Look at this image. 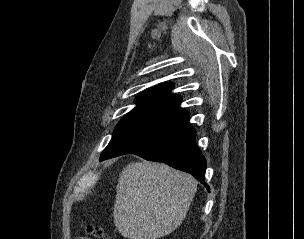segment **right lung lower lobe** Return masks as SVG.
<instances>
[{"instance_id": "98d812e1", "label": "right lung lower lobe", "mask_w": 304, "mask_h": 239, "mask_svg": "<svg viewBox=\"0 0 304 239\" xmlns=\"http://www.w3.org/2000/svg\"><path fill=\"white\" fill-rule=\"evenodd\" d=\"M123 154H136L144 159L163 162L193 175L205 184L206 160L195 143V130L189 115L164 125L102 157L105 160Z\"/></svg>"}]
</instances>
